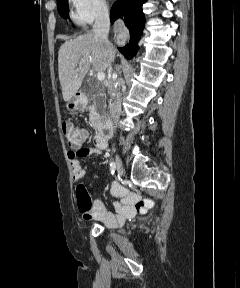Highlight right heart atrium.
<instances>
[{"label": "right heart atrium", "instance_id": "obj_1", "mask_svg": "<svg viewBox=\"0 0 240 288\" xmlns=\"http://www.w3.org/2000/svg\"><path fill=\"white\" fill-rule=\"evenodd\" d=\"M73 17L77 24L85 26L108 16L105 0H71Z\"/></svg>", "mask_w": 240, "mask_h": 288}]
</instances>
